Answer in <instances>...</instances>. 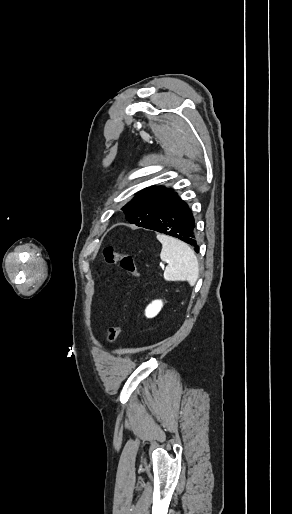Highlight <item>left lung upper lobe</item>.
I'll return each instance as SVG.
<instances>
[{
	"mask_svg": "<svg viewBox=\"0 0 292 514\" xmlns=\"http://www.w3.org/2000/svg\"><path fill=\"white\" fill-rule=\"evenodd\" d=\"M175 194L164 186H152L138 192L135 197L121 208L129 223L146 227L161 213L166 202Z\"/></svg>",
	"mask_w": 292,
	"mask_h": 514,
	"instance_id": "obj_1",
	"label": "left lung upper lobe"
}]
</instances>
